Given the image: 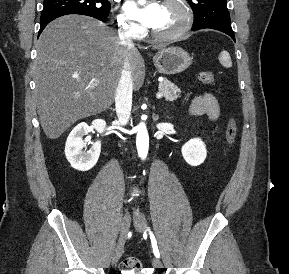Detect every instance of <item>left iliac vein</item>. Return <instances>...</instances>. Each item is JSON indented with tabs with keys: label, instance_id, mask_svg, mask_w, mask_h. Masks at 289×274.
<instances>
[{
	"label": "left iliac vein",
	"instance_id": "1",
	"mask_svg": "<svg viewBox=\"0 0 289 274\" xmlns=\"http://www.w3.org/2000/svg\"><path fill=\"white\" fill-rule=\"evenodd\" d=\"M134 227L137 232H144L146 229V219L142 213H137L134 217ZM153 265L156 268H162V262L156 257L153 259Z\"/></svg>",
	"mask_w": 289,
	"mask_h": 274
}]
</instances>
